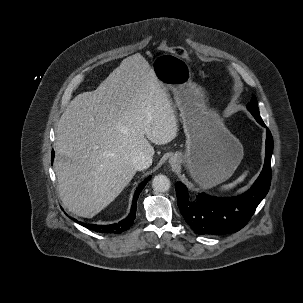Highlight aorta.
<instances>
[{
	"label": "aorta",
	"mask_w": 303,
	"mask_h": 303,
	"mask_svg": "<svg viewBox=\"0 0 303 303\" xmlns=\"http://www.w3.org/2000/svg\"><path fill=\"white\" fill-rule=\"evenodd\" d=\"M153 189L156 192H166L170 188V180L165 175H157L152 180Z\"/></svg>",
	"instance_id": "obj_1"
}]
</instances>
